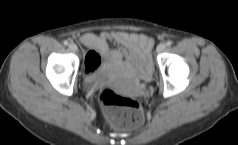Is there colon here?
<instances>
[{
	"mask_svg": "<svg viewBox=\"0 0 238 145\" xmlns=\"http://www.w3.org/2000/svg\"><path fill=\"white\" fill-rule=\"evenodd\" d=\"M100 63L95 52H89L85 60V69L90 72ZM106 119L114 126L129 130L136 128L143 121L141 103L131 97L118 94L110 88H103L98 94Z\"/></svg>",
	"mask_w": 238,
	"mask_h": 145,
	"instance_id": "5ec220e1",
	"label": "colon"
}]
</instances>
